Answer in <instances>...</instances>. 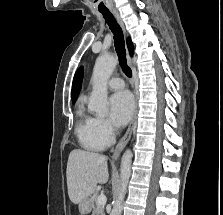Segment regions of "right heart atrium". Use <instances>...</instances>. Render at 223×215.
Masks as SVG:
<instances>
[{"label": "right heart atrium", "instance_id": "1", "mask_svg": "<svg viewBox=\"0 0 223 215\" xmlns=\"http://www.w3.org/2000/svg\"><path fill=\"white\" fill-rule=\"evenodd\" d=\"M95 128L98 134L106 141L111 140L114 136L115 129L106 118H95Z\"/></svg>", "mask_w": 223, "mask_h": 215}]
</instances>
